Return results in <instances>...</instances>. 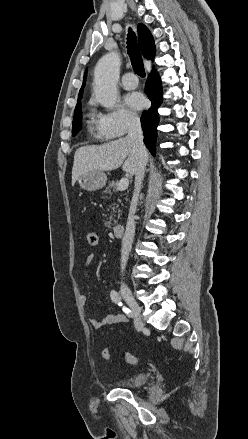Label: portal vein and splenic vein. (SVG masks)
Here are the masks:
<instances>
[{
  "label": "portal vein and splenic vein",
  "mask_w": 248,
  "mask_h": 439,
  "mask_svg": "<svg viewBox=\"0 0 248 439\" xmlns=\"http://www.w3.org/2000/svg\"><path fill=\"white\" fill-rule=\"evenodd\" d=\"M128 186H129V179L128 178H122L118 182L117 190L124 191V190H126L128 188Z\"/></svg>",
  "instance_id": "portal-vein-and-splenic-vein-1"
}]
</instances>
